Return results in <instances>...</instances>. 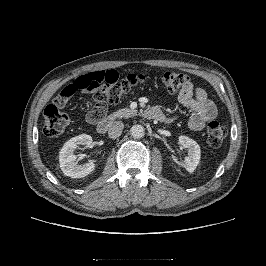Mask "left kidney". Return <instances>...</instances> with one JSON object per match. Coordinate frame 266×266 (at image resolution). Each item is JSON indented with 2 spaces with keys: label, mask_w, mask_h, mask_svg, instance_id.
<instances>
[{
  "label": "left kidney",
  "mask_w": 266,
  "mask_h": 266,
  "mask_svg": "<svg viewBox=\"0 0 266 266\" xmlns=\"http://www.w3.org/2000/svg\"><path fill=\"white\" fill-rule=\"evenodd\" d=\"M178 141L183 147L187 148L188 151V156H186L184 161L180 162L179 165L183 166L188 172L192 173L200 161V146L193 139L183 135L178 138Z\"/></svg>",
  "instance_id": "left-kidney-1"
}]
</instances>
